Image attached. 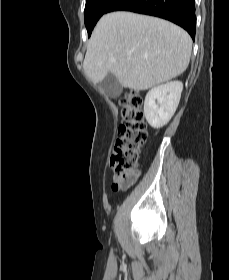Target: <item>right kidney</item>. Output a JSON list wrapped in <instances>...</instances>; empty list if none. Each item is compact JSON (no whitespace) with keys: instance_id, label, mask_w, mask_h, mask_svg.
Here are the masks:
<instances>
[{"instance_id":"obj_1","label":"right kidney","mask_w":229,"mask_h":280,"mask_svg":"<svg viewBox=\"0 0 229 280\" xmlns=\"http://www.w3.org/2000/svg\"><path fill=\"white\" fill-rule=\"evenodd\" d=\"M182 90V82L171 81L147 93L144 116L151 127L158 129L170 121L178 107Z\"/></svg>"}]
</instances>
